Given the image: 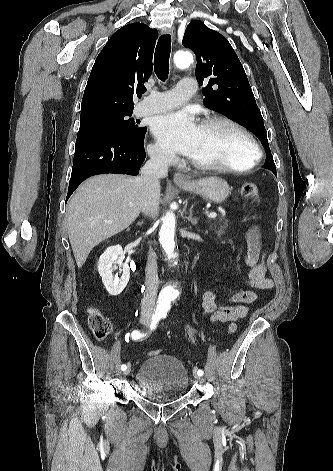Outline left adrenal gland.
Returning a JSON list of instances; mask_svg holds the SVG:
<instances>
[{
    "mask_svg": "<svg viewBox=\"0 0 333 471\" xmlns=\"http://www.w3.org/2000/svg\"><path fill=\"white\" fill-rule=\"evenodd\" d=\"M193 206H191L190 210H189V216L187 217V220L191 223L192 226H195L197 225L198 223V217H193Z\"/></svg>",
    "mask_w": 333,
    "mask_h": 471,
    "instance_id": "1",
    "label": "left adrenal gland"
}]
</instances>
